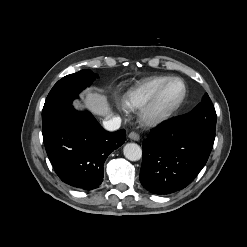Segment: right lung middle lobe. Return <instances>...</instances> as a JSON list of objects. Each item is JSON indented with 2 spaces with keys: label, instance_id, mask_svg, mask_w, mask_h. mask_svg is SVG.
Here are the masks:
<instances>
[{
  "label": "right lung middle lobe",
  "instance_id": "1",
  "mask_svg": "<svg viewBox=\"0 0 247 247\" xmlns=\"http://www.w3.org/2000/svg\"><path fill=\"white\" fill-rule=\"evenodd\" d=\"M97 77L98 75L89 69H84L60 79L47 96L42 111V120L72 106L71 103L78 97L79 92L88 87Z\"/></svg>",
  "mask_w": 247,
  "mask_h": 247
}]
</instances>
